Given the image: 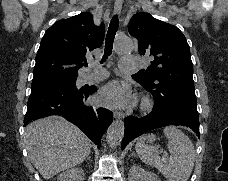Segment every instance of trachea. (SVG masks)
Returning <instances> with one entry per match:
<instances>
[{"mask_svg": "<svg viewBox=\"0 0 228 181\" xmlns=\"http://www.w3.org/2000/svg\"><path fill=\"white\" fill-rule=\"evenodd\" d=\"M118 26H119L118 15H114L111 19V22H110V25H109V28L107 31L104 56H103L100 63L105 62L107 60V58L112 54L113 42H114V38H115V35L117 33V30H118ZM84 66H87V64H85Z\"/></svg>", "mask_w": 228, "mask_h": 181, "instance_id": "obj_1", "label": "trachea"}]
</instances>
